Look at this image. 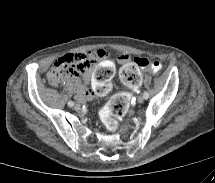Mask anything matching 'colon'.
Here are the masks:
<instances>
[{
  "label": "colon",
  "instance_id": "obj_1",
  "mask_svg": "<svg viewBox=\"0 0 215 183\" xmlns=\"http://www.w3.org/2000/svg\"><path fill=\"white\" fill-rule=\"evenodd\" d=\"M141 68H150L153 72H159L162 69V64L159 61H150L142 57H135L131 62L125 64L120 77L132 93H137L141 89ZM72 71L73 67L70 64L55 62L52 68V77L58 80ZM128 107L129 97L126 93H118L110 99L100 114L101 121L107 131L114 132L117 129L118 119L126 113Z\"/></svg>",
  "mask_w": 215,
  "mask_h": 183
}]
</instances>
